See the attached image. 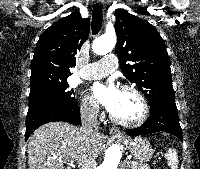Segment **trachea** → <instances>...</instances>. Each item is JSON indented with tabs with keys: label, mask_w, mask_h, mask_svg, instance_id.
Listing matches in <instances>:
<instances>
[{
	"label": "trachea",
	"mask_w": 200,
	"mask_h": 169,
	"mask_svg": "<svg viewBox=\"0 0 200 169\" xmlns=\"http://www.w3.org/2000/svg\"><path fill=\"white\" fill-rule=\"evenodd\" d=\"M103 15H102V7L98 4H95L92 12V32L93 34H97L102 27Z\"/></svg>",
	"instance_id": "obj_1"
}]
</instances>
